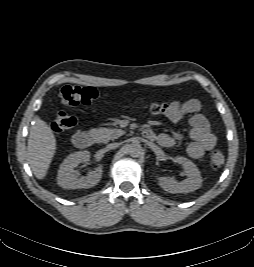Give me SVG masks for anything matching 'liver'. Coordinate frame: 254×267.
Instances as JSON below:
<instances>
[{
	"label": "liver",
	"mask_w": 254,
	"mask_h": 267,
	"mask_svg": "<svg viewBox=\"0 0 254 267\" xmlns=\"http://www.w3.org/2000/svg\"><path fill=\"white\" fill-rule=\"evenodd\" d=\"M56 138L39 116L34 117V124L29 130L27 157L37 179H44L56 152Z\"/></svg>",
	"instance_id": "1"
}]
</instances>
